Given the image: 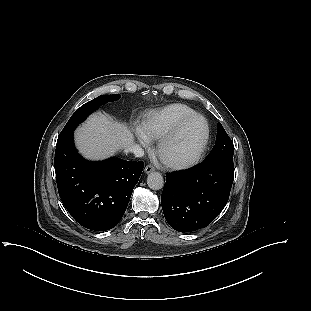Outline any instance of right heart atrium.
<instances>
[{
  "label": "right heart atrium",
  "mask_w": 311,
  "mask_h": 311,
  "mask_svg": "<svg viewBox=\"0 0 311 311\" xmlns=\"http://www.w3.org/2000/svg\"><path fill=\"white\" fill-rule=\"evenodd\" d=\"M132 132L134 133V135L136 136L138 142L142 146H147L149 144V139L144 136L143 132L141 131V129L139 127L133 126L132 127Z\"/></svg>",
  "instance_id": "obj_1"
}]
</instances>
